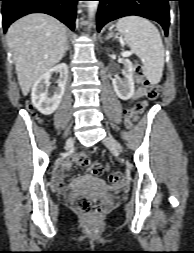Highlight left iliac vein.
Instances as JSON below:
<instances>
[{
	"instance_id": "1",
	"label": "left iliac vein",
	"mask_w": 194,
	"mask_h": 253,
	"mask_svg": "<svg viewBox=\"0 0 194 253\" xmlns=\"http://www.w3.org/2000/svg\"><path fill=\"white\" fill-rule=\"evenodd\" d=\"M103 143L105 146H107L109 149L122 153L123 152V148L121 146V144L114 139L112 136H108L103 140Z\"/></svg>"
}]
</instances>
